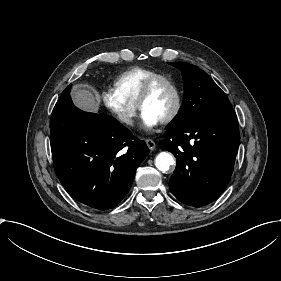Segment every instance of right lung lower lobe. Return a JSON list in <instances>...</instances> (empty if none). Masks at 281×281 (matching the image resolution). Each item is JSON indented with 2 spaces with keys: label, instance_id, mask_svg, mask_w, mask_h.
I'll use <instances>...</instances> for the list:
<instances>
[{
  "label": "right lung lower lobe",
  "instance_id": "98d812e1",
  "mask_svg": "<svg viewBox=\"0 0 281 281\" xmlns=\"http://www.w3.org/2000/svg\"><path fill=\"white\" fill-rule=\"evenodd\" d=\"M69 85L50 121L55 172L66 191L95 209L118 205L128 193L149 150L115 118L73 105Z\"/></svg>",
  "mask_w": 281,
  "mask_h": 281
}]
</instances>
